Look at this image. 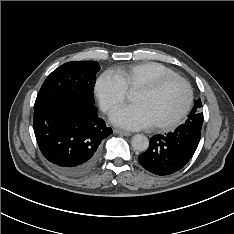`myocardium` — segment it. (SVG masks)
I'll list each match as a JSON object with an SVG mask.
<instances>
[{"label": "myocardium", "mask_w": 234, "mask_h": 234, "mask_svg": "<svg viewBox=\"0 0 234 234\" xmlns=\"http://www.w3.org/2000/svg\"><path fill=\"white\" fill-rule=\"evenodd\" d=\"M178 81L180 82L186 90V101L182 109L179 111V113L173 117L172 119L163 122V123H158V124H153L152 127L155 130H169L176 125H178L182 119L187 115L189 112L192 102H193V90L190 85V83L183 77L179 75H172V76H165L160 79H157L149 84L142 85L136 89V92H141L145 94H152L160 90L162 87L165 85Z\"/></svg>", "instance_id": "myocardium-1"}]
</instances>
